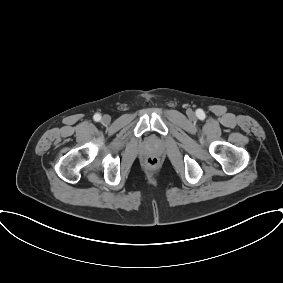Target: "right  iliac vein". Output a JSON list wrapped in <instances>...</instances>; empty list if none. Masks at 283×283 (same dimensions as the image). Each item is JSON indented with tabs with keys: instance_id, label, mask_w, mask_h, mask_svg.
I'll use <instances>...</instances> for the list:
<instances>
[{
	"instance_id": "right-iliac-vein-1",
	"label": "right iliac vein",
	"mask_w": 283,
	"mask_h": 283,
	"mask_svg": "<svg viewBox=\"0 0 283 283\" xmlns=\"http://www.w3.org/2000/svg\"><path fill=\"white\" fill-rule=\"evenodd\" d=\"M110 121H111V117H110L109 115H104V116L102 117V123H103V124H109Z\"/></svg>"
}]
</instances>
